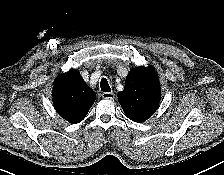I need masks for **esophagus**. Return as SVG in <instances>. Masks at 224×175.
<instances>
[{
    "mask_svg": "<svg viewBox=\"0 0 224 175\" xmlns=\"http://www.w3.org/2000/svg\"><path fill=\"white\" fill-rule=\"evenodd\" d=\"M101 96L104 99H114L115 98V94L113 92H103Z\"/></svg>",
    "mask_w": 224,
    "mask_h": 175,
    "instance_id": "1",
    "label": "esophagus"
}]
</instances>
